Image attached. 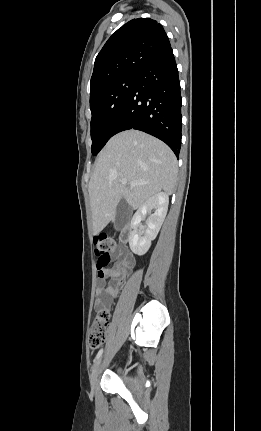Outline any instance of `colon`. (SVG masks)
Returning a JSON list of instances; mask_svg holds the SVG:
<instances>
[{
    "mask_svg": "<svg viewBox=\"0 0 261 431\" xmlns=\"http://www.w3.org/2000/svg\"><path fill=\"white\" fill-rule=\"evenodd\" d=\"M95 253L98 258V275L103 274V270L110 263L113 251L116 248L115 241L106 234H99L94 239ZM109 330V314L107 311L98 312L93 318L89 333L88 342L92 349L101 346Z\"/></svg>",
    "mask_w": 261,
    "mask_h": 431,
    "instance_id": "1",
    "label": "colon"
}]
</instances>
